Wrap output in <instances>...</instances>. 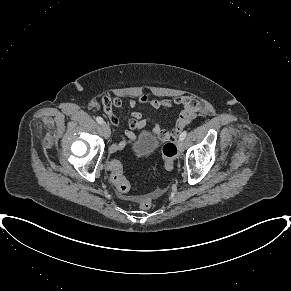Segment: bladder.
<instances>
[{
  "instance_id": "obj_1",
  "label": "bladder",
  "mask_w": 291,
  "mask_h": 291,
  "mask_svg": "<svg viewBox=\"0 0 291 291\" xmlns=\"http://www.w3.org/2000/svg\"><path fill=\"white\" fill-rule=\"evenodd\" d=\"M159 146L157 137L149 132H142L132 145V152L138 158L153 154Z\"/></svg>"
}]
</instances>
